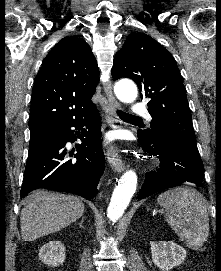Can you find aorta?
I'll return each mask as SVG.
<instances>
[{
    "label": "aorta",
    "instance_id": "1",
    "mask_svg": "<svg viewBox=\"0 0 221 271\" xmlns=\"http://www.w3.org/2000/svg\"><path fill=\"white\" fill-rule=\"evenodd\" d=\"M114 92L117 98L124 103H132L137 98V87L130 80H122L116 83ZM137 187V175L133 170L126 171L118 180L110 204L107 209V217L116 222L122 217Z\"/></svg>",
    "mask_w": 221,
    "mask_h": 271
}]
</instances>
